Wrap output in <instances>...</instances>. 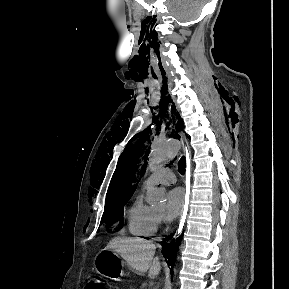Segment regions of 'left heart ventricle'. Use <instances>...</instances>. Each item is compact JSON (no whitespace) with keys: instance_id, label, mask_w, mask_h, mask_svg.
Returning a JSON list of instances; mask_svg holds the SVG:
<instances>
[{"instance_id":"obj_1","label":"left heart ventricle","mask_w":289,"mask_h":289,"mask_svg":"<svg viewBox=\"0 0 289 289\" xmlns=\"http://www.w3.org/2000/svg\"><path fill=\"white\" fill-rule=\"evenodd\" d=\"M163 210H164L163 205H158L156 207H153V211H155L159 215H161L163 213Z\"/></svg>"}]
</instances>
